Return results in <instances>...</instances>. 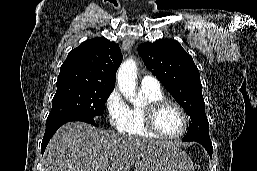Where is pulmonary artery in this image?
I'll return each mask as SVG.
<instances>
[{"label":"pulmonary artery","mask_w":257,"mask_h":171,"mask_svg":"<svg viewBox=\"0 0 257 171\" xmlns=\"http://www.w3.org/2000/svg\"><path fill=\"white\" fill-rule=\"evenodd\" d=\"M141 86L145 88L158 89L160 88V83L155 77L151 75H145L141 79Z\"/></svg>","instance_id":"obj_1"}]
</instances>
